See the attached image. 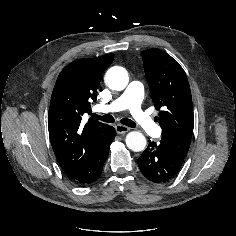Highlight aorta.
<instances>
[{
  "label": "aorta",
  "mask_w": 236,
  "mask_h": 236,
  "mask_svg": "<svg viewBox=\"0 0 236 236\" xmlns=\"http://www.w3.org/2000/svg\"><path fill=\"white\" fill-rule=\"evenodd\" d=\"M104 81L110 89L121 91L128 85V72L123 67H111L106 72ZM126 145L130 150L134 152L143 151L146 147V138L142 133L138 131H131L126 135Z\"/></svg>",
  "instance_id": "1"
}]
</instances>
